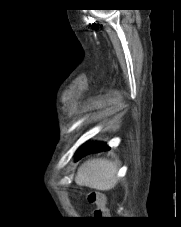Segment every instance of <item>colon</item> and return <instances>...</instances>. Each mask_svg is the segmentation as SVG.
Masks as SVG:
<instances>
[{"mask_svg": "<svg viewBox=\"0 0 181 227\" xmlns=\"http://www.w3.org/2000/svg\"><path fill=\"white\" fill-rule=\"evenodd\" d=\"M88 202L96 205L94 216L98 218H107L109 211L106 207V196L101 192H91L88 195Z\"/></svg>", "mask_w": 181, "mask_h": 227, "instance_id": "obj_1", "label": "colon"}]
</instances>
